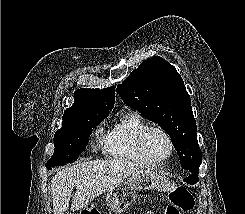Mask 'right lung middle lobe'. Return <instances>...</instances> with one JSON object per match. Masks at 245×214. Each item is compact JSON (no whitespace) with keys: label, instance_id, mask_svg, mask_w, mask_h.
I'll return each mask as SVG.
<instances>
[{"label":"right lung middle lobe","instance_id":"obj_1","mask_svg":"<svg viewBox=\"0 0 245 214\" xmlns=\"http://www.w3.org/2000/svg\"><path fill=\"white\" fill-rule=\"evenodd\" d=\"M108 113L81 115L72 120L68 128L55 133V150L45 164L47 169L76 161L88 144V138Z\"/></svg>","mask_w":245,"mask_h":214}]
</instances>
